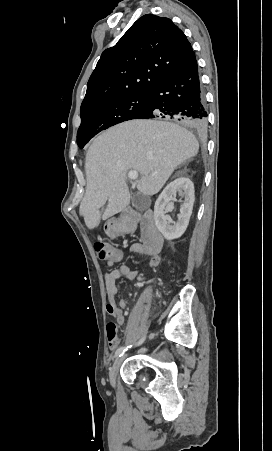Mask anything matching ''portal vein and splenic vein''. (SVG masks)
<instances>
[{
	"mask_svg": "<svg viewBox=\"0 0 272 451\" xmlns=\"http://www.w3.org/2000/svg\"><path fill=\"white\" fill-rule=\"evenodd\" d=\"M139 174L137 172V170H130V172H128V178L129 180H137Z\"/></svg>",
	"mask_w": 272,
	"mask_h": 451,
	"instance_id": "1",
	"label": "portal vein and splenic vein"
}]
</instances>
